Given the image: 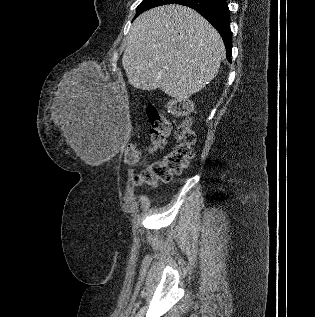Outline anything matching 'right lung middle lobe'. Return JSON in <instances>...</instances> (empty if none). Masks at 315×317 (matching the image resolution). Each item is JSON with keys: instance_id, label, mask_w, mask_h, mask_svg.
<instances>
[{"instance_id": "right-lung-middle-lobe-1", "label": "right lung middle lobe", "mask_w": 315, "mask_h": 317, "mask_svg": "<svg viewBox=\"0 0 315 317\" xmlns=\"http://www.w3.org/2000/svg\"><path fill=\"white\" fill-rule=\"evenodd\" d=\"M178 0H143V2L137 7V15L140 13L151 9L153 7L165 5V4H173L176 3Z\"/></svg>"}]
</instances>
